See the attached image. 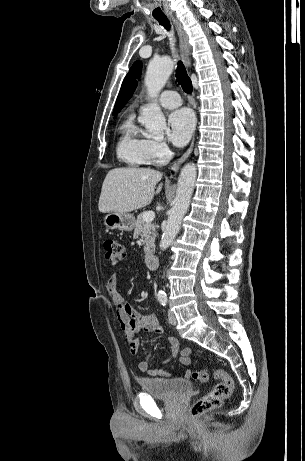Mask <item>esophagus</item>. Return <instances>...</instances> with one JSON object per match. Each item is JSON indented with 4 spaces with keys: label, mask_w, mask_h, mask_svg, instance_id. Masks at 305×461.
<instances>
[{
    "label": "esophagus",
    "mask_w": 305,
    "mask_h": 461,
    "mask_svg": "<svg viewBox=\"0 0 305 461\" xmlns=\"http://www.w3.org/2000/svg\"><path fill=\"white\" fill-rule=\"evenodd\" d=\"M171 19H172L173 23L175 24V28H176V31H177V34H178L179 50H180L181 58H182L183 62L185 63L186 67L190 68L191 67V56H190V45H189V42H188V36H187L186 32L184 31L182 25L174 17H171ZM194 141H195V136L193 137L192 142H191L188 150L174 164V166H173L174 171H176L179 168V166L190 156V154L192 153V150H193Z\"/></svg>",
    "instance_id": "34e87169"
}]
</instances>
